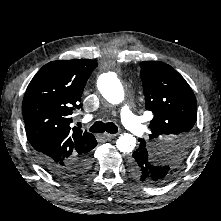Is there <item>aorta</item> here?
<instances>
[{"mask_svg":"<svg viewBox=\"0 0 221 221\" xmlns=\"http://www.w3.org/2000/svg\"><path fill=\"white\" fill-rule=\"evenodd\" d=\"M97 87L102 96L111 104H119L124 100V89L115 73L102 74L97 82ZM136 146V138L129 133L119 136L116 147L122 153H130Z\"/></svg>","mask_w":221,"mask_h":221,"instance_id":"762f6f07","label":"aorta"}]
</instances>
